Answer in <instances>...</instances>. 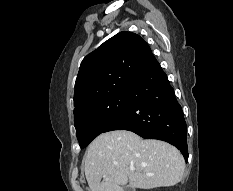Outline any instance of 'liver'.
Wrapping results in <instances>:
<instances>
[{
	"instance_id": "1",
	"label": "liver",
	"mask_w": 233,
	"mask_h": 191,
	"mask_svg": "<svg viewBox=\"0 0 233 191\" xmlns=\"http://www.w3.org/2000/svg\"><path fill=\"white\" fill-rule=\"evenodd\" d=\"M184 170L185 161L177 148L160 140H143L127 130L100 134L85 155L90 191H123L128 182L140 189L174 186Z\"/></svg>"
}]
</instances>
